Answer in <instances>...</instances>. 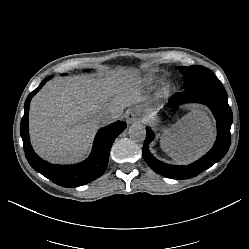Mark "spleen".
Wrapping results in <instances>:
<instances>
[{"label":"spleen","mask_w":249,"mask_h":249,"mask_svg":"<svg viewBox=\"0 0 249 249\" xmlns=\"http://www.w3.org/2000/svg\"><path fill=\"white\" fill-rule=\"evenodd\" d=\"M163 149H165V151H166L169 155H171L170 150H169L166 146H163Z\"/></svg>","instance_id":"3e777b00"}]
</instances>
